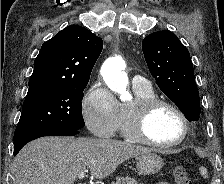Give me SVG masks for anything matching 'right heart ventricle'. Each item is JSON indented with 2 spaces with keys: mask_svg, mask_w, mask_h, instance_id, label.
I'll return each instance as SVG.
<instances>
[{
  "mask_svg": "<svg viewBox=\"0 0 224 184\" xmlns=\"http://www.w3.org/2000/svg\"><path fill=\"white\" fill-rule=\"evenodd\" d=\"M133 90L135 93L134 101L131 103H122L120 104L119 108V120L117 125V131H119L120 134L127 139H131L128 134V120L132 106L140 101L156 97L151 87L142 88L134 86Z\"/></svg>",
  "mask_w": 224,
  "mask_h": 184,
  "instance_id": "right-heart-ventricle-1",
  "label": "right heart ventricle"
}]
</instances>
